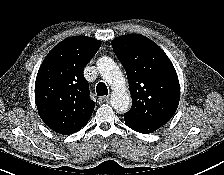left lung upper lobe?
<instances>
[{
	"mask_svg": "<svg viewBox=\"0 0 224 175\" xmlns=\"http://www.w3.org/2000/svg\"><path fill=\"white\" fill-rule=\"evenodd\" d=\"M111 44L126 71L133 102L124 120L143 125L167 123L180 99L178 76L167 55L140 34L118 37Z\"/></svg>",
	"mask_w": 224,
	"mask_h": 175,
	"instance_id": "left-lung-upper-lobe-1",
	"label": "left lung upper lobe"
}]
</instances>
